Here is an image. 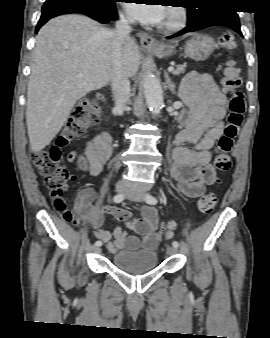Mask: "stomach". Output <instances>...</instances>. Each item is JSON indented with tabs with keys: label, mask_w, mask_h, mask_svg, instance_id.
<instances>
[{
	"label": "stomach",
	"mask_w": 270,
	"mask_h": 338,
	"mask_svg": "<svg viewBox=\"0 0 270 338\" xmlns=\"http://www.w3.org/2000/svg\"><path fill=\"white\" fill-rule=\"evenodd\" d=\"M177 45L178 43L176 41L167 44L163 43L159 48L152 49L151 51L159 58H167L175 52ZM213 50V39L201 34H193L190 39L186 41L184 46L185 55L195 61L206 60Z\"/></svg>",
	"instance_id": "1"
}]
</instances>
